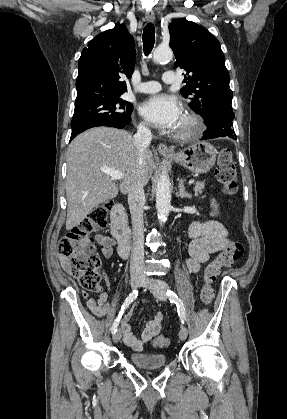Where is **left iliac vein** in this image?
<instances>
[{
  "instance_id": "1",
  "label": "left iliac vein",
  "mask_w": 287,
  "mask_h": 419,
  "mask_svg": "<svg viewBox=\"0 0 287 419\" xmlns=\"http://www.w3.org/2000/svg\"><path fill=\"white\" fill-rule=\"evenodd\" d=\"M141 286L147 287L158 300L165 301L167 299L166 290L169 287L166 282L145 277L142 280ZM179 338L181 340L187 338V329L185 327H182L179 331Z\"/></svg>"
}]
</instances>
